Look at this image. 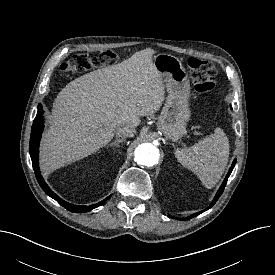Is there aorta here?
I'll return each instance as SVG.
<instances>
[{
  "mask_svg": "<svg viewBox=\"0 0 275 275\" xmlns=\"http://www.w3.org/2000/svg\"><path fill=\"white\" fill-rule=\"evenodd\" d=\"M134 160L138 165L151 167L159 160V150L151 143H142L134 151Z\"/></svg>",
  "mask_w": 275,
  "mask_h": 275,
  "instance_id": "762f6f07",
  "label": "aorta"
}]
</instances>
